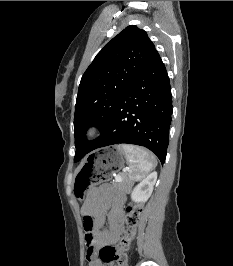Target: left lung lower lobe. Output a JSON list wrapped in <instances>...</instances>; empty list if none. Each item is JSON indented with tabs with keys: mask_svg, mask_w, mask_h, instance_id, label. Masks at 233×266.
<instances>
[{
	"mask_svg": "<svg viewBox=\"0 0 233 266\" xmlns=\"http://www.w3.org/2000/svg\"><path fill=\"white\" fill-rule=\"evenodd\" d=\"M172 95L166 68L155 50L131 87L114 108L101 136L86 153L109 145L128 143L150 149L165 162L169 144Z\"/></svg>",
	"mask_w": 233,
	"mask_h": 266,
	"instance_id": "0a47b994",
	"label": "left lung lower lobe"
}]
</instances>
